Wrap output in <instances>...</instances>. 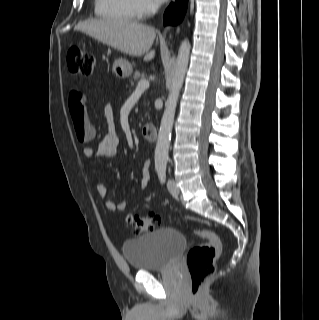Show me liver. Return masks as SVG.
Wrapping results in <instances>:
<instances>
[{
    "label": "liver",
    "mask_w": 319,
    "mask_h": 320,
    "mask_svg": "<svg viewBox=\"0 0 319 320\" xmlns=\"http://www.w3.org/2000/svg\"><path fill=\"white\" fill-rule=\"evenodd\" d=\"M81 31L112 48L133 56L145 55L144 61H150L155 51H149L156 37L155 29L130 20L89 19L75 26Z\"/></svg>",
    "instance_id": "obj_1"
}]
</instances>
